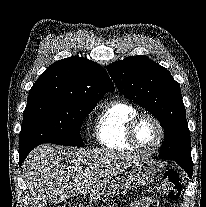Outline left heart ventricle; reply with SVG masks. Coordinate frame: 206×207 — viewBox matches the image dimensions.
Wrapping results in <instances>:
<instances>
[{"mask_svg":"<svg viewBox=\"0 0 206 207\" xmlns=\"http://www.w3.org/2000/svg\"><path fill=\"white\" fill-rule=\"evenodd\" d=\"M135 136L142 149L151 150L158 144L160 132L152 120L144 118L138 123Z\"/></svg>","mask_w":206,"mask_h":207,"instance_id":"obj_1","label":"left heart ventricle"}]
</instances>
